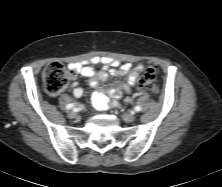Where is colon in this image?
Wrapping results in <instances>:
<instances>
[{
	"label": "colon",
	"mask_w": 222,
	"mask_h": 187,
	"mask_svg": "<svg viewBox=\"0 0 222 187\" xmlns=\"http://www.w3.org/2000/svg\"><path fill=\"white\" fill-rule=\"evenodd\" d=\"M155 65H146L139 79V88L146 91H156L154 84ZM45 91L50 96H56L68 87V76L64 66L53 62L48 64L43 72Z\"/></svg>",
	"instance_id": "1"
}]
</instances>
